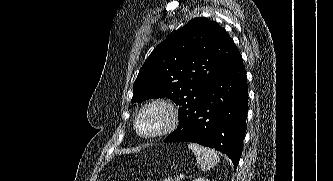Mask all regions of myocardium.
<instances>
[{
    "instance_id": "myocardium-1",
    "label": "myocardium",
    "mask_w": 333,
    "mask_h": 181,
    "mask_svg": "<svg viewBox=\"0 0 333 181\" xmlns=\"http://www.w3.org/2000/svg\"><path fill=\"white\" fill-rule=\"evenodd\" d=\"M151 109H159L161 110L164 115H165V121L163 126L151 133L148 134H143L139 131L138 128V122L139 119L141 118V116L151 110ZM179 123V110L178 107L176 106V104L174 102H172L171 100L165 99V98H156V99H152L149 102L145 103L144 105H142L140 107V109L137 111L135 117H134V121H133V128L135 133L141 137V138H145V139H153V138H157V137H162L166 134H169L170 132H172Z\"/></svg>"
}]
</instances>
